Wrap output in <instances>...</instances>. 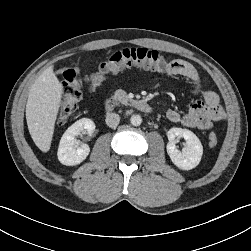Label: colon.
Wrapping results in <instances>:
<instances>
[{"label": "colon", "mask_w": 251, "mask_h": 251, "mask_svg": "<svg viewBox=\"0 0 251 251\" xmlns=\"http://www.w3.org/2000/svg\"><path fill=\"white\" fill-rule=\"evenodd\" d=\"M142 67L148 70L165 72L170 62L158 51L147 48H125L111 54L99 67V73L109 76L120 72L127 67ZM62 97L57 117L59 125L64 124L75 111L82 97L81 88L87 78L79 67L66 68L63 71ZM218 143L215 133L209 135L210 146Z\"/></svg>", "instance_id": "colon-1"}]
</instances>
